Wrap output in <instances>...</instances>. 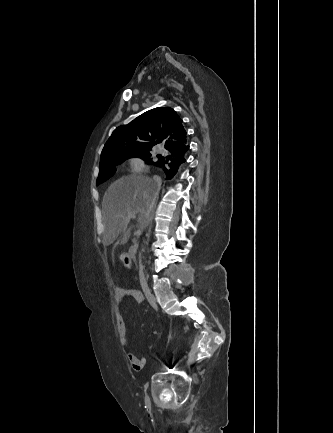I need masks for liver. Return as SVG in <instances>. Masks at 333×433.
<instances>
[{
    "label": "liver",
    "instance_id": "liver-1",
    "mask_svg": "<svg viewBox=\"0 0 333 433\" xmlns=\"http://www.w3.org/2000/svg\"><path fill=\"white\" fill-rule=\"evenodd\" d=\"M157 196L153 180L146 176H126L112 183L102 200L103 245L109 246L121 234L120 244L128 242L132 227H128L125 218L131 212L138 215L136 226L143 231L153 213V200Z\"/></svg>",
    "mask_w": 333,
    "mask_h": 433
}]
</instances>
